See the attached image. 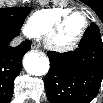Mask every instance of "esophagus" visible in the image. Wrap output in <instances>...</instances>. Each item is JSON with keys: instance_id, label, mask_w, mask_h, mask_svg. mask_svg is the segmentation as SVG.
<instances>
[{"instance_id": "esophagus-1", "label": "esophagus", "mask_w": 103, "mask_h": 103, "mask_svg": "<svg viewBox=\"0 0 103 103\" xmlns=\"http://www.w3.org/2000/svg\"><path fill=\"white\" fill-rule=\"evenodd\" d=\"M32 49H36L37 50L38 49V45L36 43H33L32 44Z\"/></svg>"}]
</instances>
